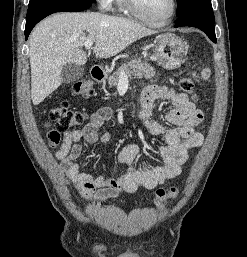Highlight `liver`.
I'll return each mask as SVG.
<instances>
[{"label": "liver", "instance_id": "liver-1", "mask_svg": "<svg viewBox=\"0 0 247 257\" xmlns=\"http://www.w3.org/2000/svg\"><path fill=\"white\" fill-rule=\"evenodd\" d=\"M152 34L155 31L133 20L98 12L57 13L46 18L29 38L33 104H40L61 85L64 64L87 62L82 50L85 41L95 42L96 57L110 58Z\"/></svg>", "mask_w": 247, "mask_h": 257}]
</instances>
